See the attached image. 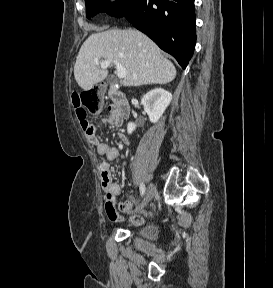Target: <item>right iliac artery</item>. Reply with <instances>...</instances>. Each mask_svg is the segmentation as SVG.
I'll return each instance as SVG.
<instances>
[{"label":"right iliac artery","instance_id":"right-iliac-artery-1","mask_svg":"<svg viewBox=\"0 0 273 288\" xmlns=\"http://www.w3.org/2000/svg\"><path fill=\"white\" fill-rule=\"evenodd\" d=\"M145 185L143 183L140 184V193H141V196H143L145 194Z\"/></svg>","mask_w":273,"mask_h":288}]
</instances>
